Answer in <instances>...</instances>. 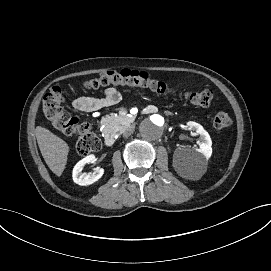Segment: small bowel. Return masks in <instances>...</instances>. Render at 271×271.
<instances>
[{"mask_svg": "<svg viewBox=\"0 0 271 271\" xmlns=\"http://www.w3.org/2000/svg\"><path fill=\"white\" fill-rule=\"evenodd\" d=\"M121 95L114 87L105 89L102 97L76 96L72 102L74 109L81 112H97L119 103Z\"/></svg>", "mask_w": 271, "mask_h": 271, "instance_id": "small-bowel-1", "label": "small bowel"}]
</instances>
